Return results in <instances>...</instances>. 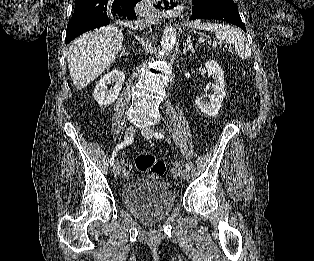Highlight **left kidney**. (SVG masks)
Wrapping results in <instances>:
<instances>
[{
	"mask_svg": "<svg viewBox=\"0 0 314 261\" xmlns=\"http://www.w3.org/2000/svg\"><path fill=\"white\" fill-rule=\"evenodd\" d=\"M205 67L208 70V76L212 77L214 80V84L212 85L214 93L212 95H206L209 101H205L202 97L197 96L195 103L202 113L209 117H215L226 95L224 90V75L220 65L214 60L207 61Z\"/></svg>",
	"mask_w": 314,
	"mask_h": 261,
	"instance_id": "obj_1",
	"label": "left kidney"
}]
</instances>
